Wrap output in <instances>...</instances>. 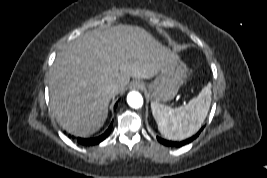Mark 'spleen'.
Returning a JSON list of instances; mask_svg holds the SVG:
<instances>
[{
    "label": "spleen",
    "instance_id": "1",
    "mask_svg": "<svg viewBox=\"0 0 267 178\" xmlns=\"http://www.w3.org/2000/svg\"><path fill=\"white\" fill-rule=\"evenodd\" d=\"M211 83L185 106L171 108L151 103L153 117L160 133L169 140H182L194 135L202 126L211 104Z\"/></svg>",
    "mask_w": 267,
    "mask_h": 178
}]
</instances>
